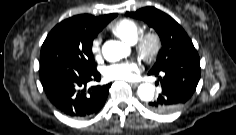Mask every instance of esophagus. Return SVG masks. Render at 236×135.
Masks as SVG:
<instances>
[{"instance_id":"1","label":"esophagus","mask_w":236,"mask_h":135,"mask_svg":"<svg viewBox=\"0 0 236 135\" xmlns=\"http://www.w3.org/2000/svg\"><path fill=\"white\" fill-rule=\"evenodd\" d=\"M140 83L139 82H129V85L133 87H137Z\"/></svg>"}]
</instances>
